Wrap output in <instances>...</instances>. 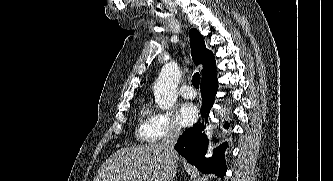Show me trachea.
Returning a JSON list of instances; mask_svg holds the SVG:
<instances>
[{"label": "trachea", "instance_id": "1", "mask_svg": "<svg viewBox=\"0 0 333 181\" xmlns=\"http://www.w3.org/2000/svg\"><path fill=\"white\" fill-rule=\"evenodd\" d=\"M192 84L196 89H199V85H200V74L198 72H196L193 75V79H192Z\"/></svg>", "mask_w": 333, "mask_h": 181}]
</instances>
